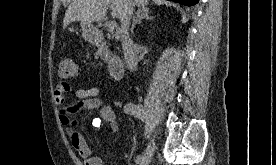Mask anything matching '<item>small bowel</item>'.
I'll return each instance as SVG.
<instances>
[{
    "label": "small bowel",
    "instance_id": "1",
    "mask_svg": "<svg viewBox=\"0 0 276 165\" xmlns=\"http://www.w3.org/2000/svg\"><path fill=\"white\" fill-rule=\"evenodd\" d=\"M100 87L72 89L66 82L59 83L54 90V99L58 107L59 119L72 147L78 152L84 165H103L102 159L95 155L83 135L78 131V120L75 114L80 109L95 111L98 115L93 118L92 126L99 127L103 122L111 127V135L118 131L115 112L111 106L100 98ZM72 93L75 102H68L67 96Z\"/></svg>",
    "mask_w": 276,
    "mask_h": 165
}]
</instances>
